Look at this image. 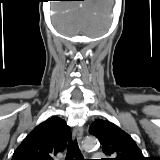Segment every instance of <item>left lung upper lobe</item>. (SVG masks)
I'll list each match as a JSON object with an SVG mask.
<instances>
[{
	"label": "left lung upper lobe",
	"mask_w": 160,
	"mask_h": 160,
	"mask_svg": "<svg viewBox=\"0 0 160 160\" xmlns=\"http://www.w3.org/2000/svg\"><path fill=\"white\" fill-rule=\"evenodd\" d=\"M89 133L100 140L103 152L110 156L104 160H146L131 136L107 120L97 119Z\"/></svg>",
	"instance_id": "1"
}]
</instances>
